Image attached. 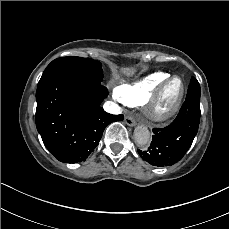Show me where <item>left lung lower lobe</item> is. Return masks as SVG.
I'll return each instance as SVG.
<instances>
[{
    "mask_svg": "<svg viewBox=\"0 0 229 229\" xmlns=\"http://www.w3.org/2000/svg\"><path fill=\"white\" fill-rule=\"evenodd\" d=\"M200 122V85L192 77L186 100L176 119L167 127L154 128L153 140L146 151L137 150L142 159L153 166H171L190 148Z\"/></svg>",
    "mask_w": 229,
    "mask_h": 229,
    "instance_id": "obj_1",
    "label": "left lung lower lobe"
}]
</instances>
